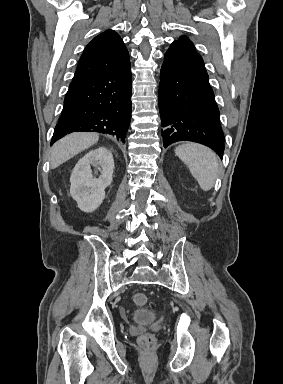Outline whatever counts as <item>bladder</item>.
I'll return each mask as SVG.
<instances>
[{"label": "bladder", "instance_id": "31cf9c89", "mask_svg": "<svg viewBox=\"0 0 283 384\" xmlns=\"http://www.w3.org/2000/svg\"><path fill=\"white\" fill-rule=\"evenodd\" d=\"M132 320L136 323H151L154 320V313L137 311Z\"/></svg>", "mask_w": 283, "mask_h": 384}]
</instances>
